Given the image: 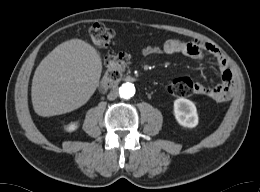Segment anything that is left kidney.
<instances>
[{"label":"left kidney","mask_w":260,"mask_h":192,"mask_svg":"<svg viewBox=\"0 0 260 192\" xmlns=\"http://www.w3.org/2000/svg\"><path fill=\"white\" fill-rule=\"evenodd\" d=\"M174 116L177 122L187 128H194L198 125V113L195 104L185 98H178L174 101Z\"/></svg>","instance_id":"left-kidney-1"}]
</instances>
